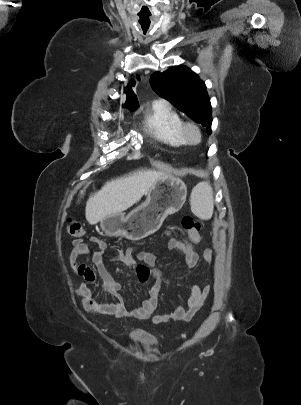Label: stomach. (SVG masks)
<instances>
[{"instance_id": "0dacf381", "label": "stomach", "mask_w": 301, "mask_h": 405, "mask_svg": "<svg viewBox=\"0 0 301 405\" xmlns=\"http://www.w3.org/2000/svg\"><path fill=\"white\" fill-rule=\"evenodd\" d=\"M186 197L185 183L178 177L166 175L151 186L143 204L128 215L118 213L106 217L101 226L110 235L141 240L157 231L168 215L178 212Z\"/></svg>"}]
</instances>
